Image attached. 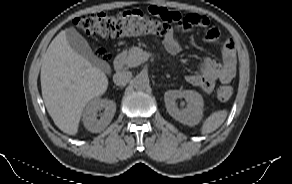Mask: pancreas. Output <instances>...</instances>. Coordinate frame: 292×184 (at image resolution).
I'll use <instances>...</instances> for the list:
<instances>
[{
    "label": "pancreas",
    "mask_w": 292,
    "mask_h": 184,
    "mask_svg": "<svg viewBox=\"0 0 292 184\" xmlns=\"http://www.w3.org/2000/svg\"><path fill=\"white\" fill-rule=\"evenodd\" d=\"M120 57L127 68L136 67L145 62L144 51L140 47H132L129 51H123Z\"/></svg>",
    "instance_id": "obj_1"
}]
</instances>
